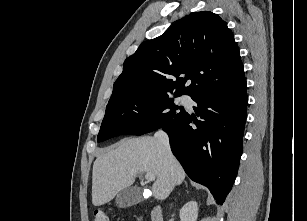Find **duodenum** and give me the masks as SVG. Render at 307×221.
I'll list each match as a JSON object with an SVG mask.
<instances>
[{"instance_id": "duodenum-1", "label": "duodenum", "mask_w": 307, "mask_h": 221, "mask_svg": "<svg viewBox=\"0 0 307 221\" xmlns=\"http://www.w3.org/2000/svg\"><path fill=\"white\" fill-rule=\"evenodd\" d=\"M151 221H163L162 210L159 206L153 208L151 213Z\"/></svg>"}]
</instances>
